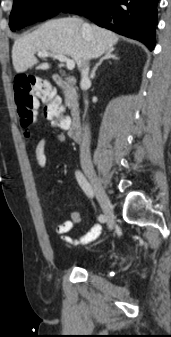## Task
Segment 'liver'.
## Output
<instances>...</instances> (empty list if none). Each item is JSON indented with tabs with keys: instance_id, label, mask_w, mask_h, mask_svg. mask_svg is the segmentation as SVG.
Wrapping results in <instances>:
<instances>
[{
	"instance_id": "liver-1",
	"label": "liver",
	"mask_w": 171,
	"mask_h": 337,
	"mask_svg": "<svg viewBox=\"0 0 171 337\" xmlns=\"http://www.w3.org/2000/svg\"><path fill=\"white\" fill-rule=\"evenodd\" d=\"M77 17L47 21L35 31L18 38L12 48V62L17 73L38 64L35 53L50 51L70 56L80 69L86 61L100 57L118 42V36L96 25H89ZM49 63L37 65L38 70H48Z\"/></svg>"
}]
</instances>
